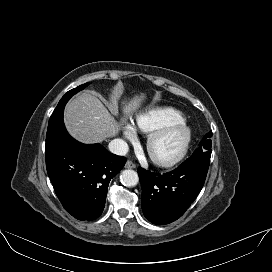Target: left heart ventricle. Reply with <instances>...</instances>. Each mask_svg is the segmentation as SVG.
Segmentation results:
<instances>
[{
	"mask_svg": "<svg viewBox=\"0 0 272 272\" xmlns=\"http://www.w3.org/2000/svg\"><path fill=\"white\" fill-rule=\"evenodd\" d=\"M182 141L181 133H172L162 138L155 146V153L160 157H169L175 154Z\"/></svg>",
	"mask_w": 272,
	"mask_h": 272,
	"instance_id": "left-heart-ventricle-1",
	"label": "left heart ventricle"
}]
</instances>
